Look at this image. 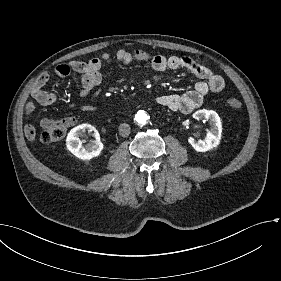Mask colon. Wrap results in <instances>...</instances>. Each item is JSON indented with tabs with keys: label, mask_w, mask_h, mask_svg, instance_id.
I'll list each match as a JSON object with an SVG mask.
<instances>
[{
	"label": "colon",
	"mask_w": 281,
	"mask_h": 281,
	"mask_svg": "<svg viewBox=\"0 0 281 281\" xmlns=\"http://www.w3.org/2000/svg\"><path fill=\"white\" fill-rule=\"evenodd\" d=\"M227 105L231 108L236 109L240 107L241 102L238 98L231 97L227 99ZM69 127H70L69 118H63L54 121L44 128L38 141L44 143H52L61 140L65 136Z\"/></svg>",
	"instance_id": "5ec220e1"
}]
</instances>
